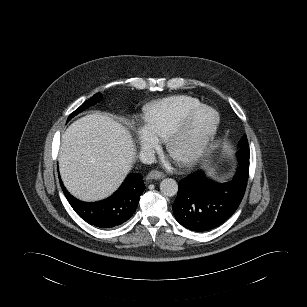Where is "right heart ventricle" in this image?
I'll return each instance as SVG.
<instances>
[{
	"label": "right heart ventricle",
	"instance_id": "obj_1",
	"mask_svg": "<svg viewBox=\"0 0 307 307\" xmlns=\"http://www.w3.org/2000/svg\"><path fill=\"white\" fill-rule=\"evenodd\" d=\"M189 95L163 98L148 104L144 111V128L157 141H165L185 114L200 105Z\"/></svg>",
	"mask_w": 307,
	"mask_h": 307
}]
</instances>
